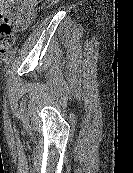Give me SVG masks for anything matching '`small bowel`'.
Masks as SVG:
<instances>
[{"label": "small bowel", "instance_id": "c3829d8e", "mask_svg": "<svg viewBox=\"0 0 133 173\" xmlns=\"http://www.w3.org/2000/svg\"><path fill=\"white\" fill-rule=\"evenodd\" d=\"M0 11L8 13L15 28L22 31L34 18L33 0H0Z\"/></svg>", "mask_w": 133, "mask_h": 173}]
</instances>
